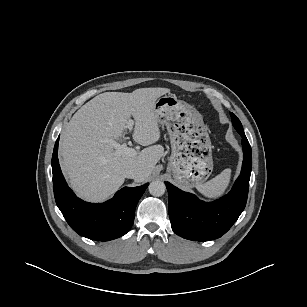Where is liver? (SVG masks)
Returning a JSON list of instances; mask_svg holds the SVG:
<instances>
[{"mask_svg":"<svg viewBox=\"0 0 307 307\" xmlns=\"http://www.w3.org/2000/svg\"><path fill=\"white\" fill-rule=\"evenodd\" d=\"M167 88H140L132 93L105 92L83 105L63 129L59 156L74 192L91 202L112 196L124 183L123 171L136 169V182L145 181L164 153L155 116V102ZM133 116V139L148 146L135 157L116 154L105 139H118ZM151 145V146H150Z\"/></svg>","mask_w":307,"mask_h":307,"instance_id":"1","label":"liver"}]
</instances>
